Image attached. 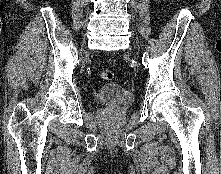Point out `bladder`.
<instances>
[{
    "instance_id": "1",
    "label": "bladder",
    "mask_w": 221,
    "mask_h": 174,
    "mask_svg": "<svg viewBox=\"0 0 221 174\" xmlns=\"http://www.w3.org/2000/svg\"><path fill=\"white\" fill-rule=\"evenodd\" d=\"M97 104L128 105L134 100L133 92L118 83H106L93 93Z\"/></svg>"
}]
</instances>
